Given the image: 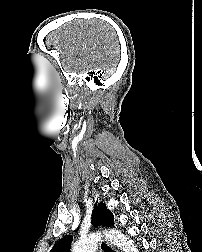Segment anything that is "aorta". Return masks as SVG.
Listing matches in <instances>:
<instances>
[{"label":"aorta","mask_w":202,"mask_h":252,"mask_svg":"<svg viewBox=\"0 0 202 252\" xmlns=\"http://www.w3.org/2000/svg\"><path fill=\"white\" fill-rule=\"evenodd\" d=\"M107 238L124 252H138L137 247L127 236L118 230H110L106 233ZM100 234H92L85 239L78 241L72 248V252H96Z\"/></svg>","instance_id":"obj_1"}]
</instances>
